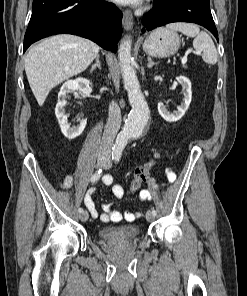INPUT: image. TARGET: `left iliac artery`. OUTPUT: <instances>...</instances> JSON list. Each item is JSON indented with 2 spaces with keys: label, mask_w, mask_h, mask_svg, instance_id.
Here are the masks:
<instances>
[{
  "label": "left iliac artery",
  "mask_w": 247,
  "mask_h": 296,
  "mask_svg": "<svg viewBox=\"0 0 247 296\" xmlns=\"http://www.w3.org/2000/svg\"><path fill=\"white\" fill-rule=\"evenodd\" d=\"M120 158H121V152H120V151L115 152L114 155L112 156V159H113L115 162H119ZM152 213H153L154 215L157 214V212H156L155 210H152Z\"/></svg>",
  "instance_id": "1"
}]
</instances>
